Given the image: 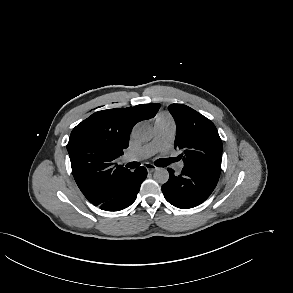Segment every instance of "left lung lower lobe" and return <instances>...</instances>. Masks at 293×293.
Listing matches in <instances>:
<instances>
[{"mask_svg":"<svg viewBox=\"0 0 293 293\" xmlns=\"http://www.w3.org/2000/svg\"><path fill=\"white\" fill-rule=\"evenodd\" d=\"M169 180L162 185L165 199L182 209L195 207L204 202L217 185L219 176L213 173L183 167L179 175L168 168Z\"/></svg>","mask_w":293,"mask_h":293,"instance_id":"obj_1","label":"left lung lower lobe"}]
</instances>
